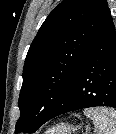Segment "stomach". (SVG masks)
Masks as SVG:
<instances>
[{
	"mask_svg": "<svg viewBox=\"0 0 116 134\" xmlns=\"http://www.w3.org/2000/svg\"><path fill=\"white\" fill-rule=\"evenodd\" d=\"M75 128L69 124H58L45 132V134H73Z\"/></svg>",
	"mask_w": 116,
	"mask_h": 134,
	"instance_id": "obj_1",
	"label": "stomach"
}]
</instances>
